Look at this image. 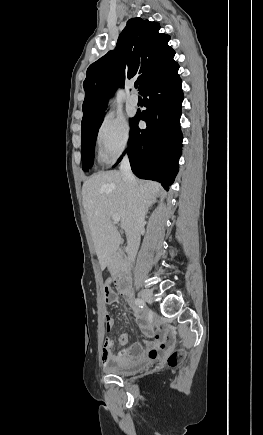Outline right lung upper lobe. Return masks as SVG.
Instances as JSON below:
<instances>
[{
    "mask_svg": "<svg viewBox=\"0 0 263 435\" xmlns=\"http://www.w3.org/2000/svg\"><path fill=\"white\" fill-rule=\"evenodd\" d=\"M160 25L132 18L121 32L114 51L92 63L83 82L82 129L104 115L107 100L126 79L137 77L139 91L166 72L176 62L175 51L168 45L170 36L159 33Z\"/></svg>",
    "mask_w": 263,
    "mask_h": 435,
    "instance_id": "cb5924a9",
    "label": "right lung upper lobe"
}]
</instances>
